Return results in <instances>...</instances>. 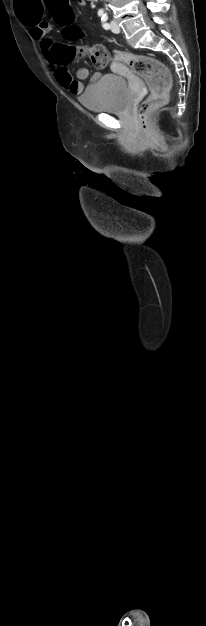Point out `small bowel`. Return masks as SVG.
Returning a JSON list of instances; mask_svg holds the SVG:
<instances>
[{"label":"small bowel","mask_w":206,"mask_h":626,"mask_svg":"<svg viewBox=\"0 0 206 626\" xmlns=\"http://www.w3.org/2000/svg\"><path fill=\"white\" fill-rule=\"evenodd\" d=\"M77 4L79 6H85L86 1L77 0ZM28 26H30L29 31L31 37L39 42L46 60L50 65L55 67L54 75L59 85L74 95H80L85 89L82 80L88 78L89 70L86 67H80L76 73L77 79H73L67 68L55 60L54 52L56 45L46 36V33L50 30V25L43 21L28 24ZM99 77L100 73H95L91 77L90 82L93 83L97 81Z\"/></svg>","instance_id":"c3829d8e"}]
</instances>
